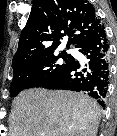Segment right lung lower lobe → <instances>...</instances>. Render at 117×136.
<instances>
[{
	"label": "right lung lower lobe",
	"mask_w": 117,
	"mask_h": 136,
	"mask_svg": "<svg viewBox=\"0 0 117 136\" xmlns=\"http://www.w3.org/2000/svg\"><path fill=\"white\" fill-rule=\"evenodd\" d=\"M78 48H81L79 51L88 59L86 63H80L73 58L64 69L38 87L83 92L105 107L110 66L105 27L101 25L95 33L81 42Z\"/></svg>",
	"instance_id": "obj_1"
}]
</instances>
